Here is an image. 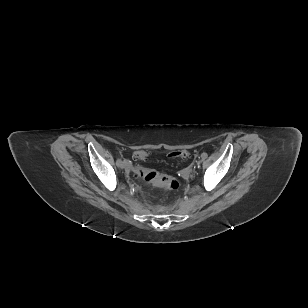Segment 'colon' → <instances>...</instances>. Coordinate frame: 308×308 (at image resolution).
<instances>
[{"mask_svg": "<svg viewBox=\"0 0 308 308\" xmlns=\"http://www.w3.org/2000/svg\"><path fill=\"white\" fill-rule=\"evenodd\" d=\"M146 156L147 153L145 151H136L133 154L135 160H142ZM169 156L171 158L185 159L189 156V153L186 150H179L170 153ZM134 173L136 176L143 178L145 181L155 186L165 188L167 190L173 191L178 189L179 187V183L175 178L153 169H148L138 166L134 169Z\"/></svg>", "mask_w": 308, "mask_h": 308, "instance_id": "obj_1", "label": "colon"}]
</instances>
